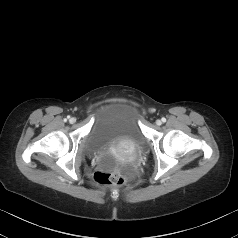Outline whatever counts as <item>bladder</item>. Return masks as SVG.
I'll return each mask as SVG.
<instances>
[{
	"label": "bladder",
	"instance_id": "obj_1",
	"mask_svg": "<svg viewBox=\"0 0 238 238\" xmlns=\"http://www.w3.org/2000/svg\"><path fill=\"white\" fill-rule=\"evenodd\" d=\"M142 110L130 100L117 99L99 104L85 140L86 152L99 164L112 161V149L125 144L138 148L145 142L141 128Z\"/></svg>",
	"mask_w": 238,
	"mask_h": 238
}]
</instances>
